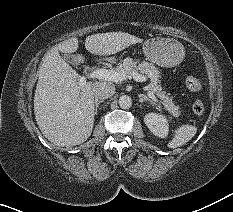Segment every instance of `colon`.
I'll use <instances>...</instances> for the list:
<instances>
[{"mask_svg":"<svg viewBox=\"0 0 233 212\" xmlns=\"http://www.w3.org/2000/svg\"><path fill=\"white\" fill-rule=\"evenodd\" d=\"M185 84H186V86H187V88L189 90L195 91V92L200 91L201 88H202L201 82L198 79H196L195 77H192V76L186 77ZM192 110H193L194 114L202 115L204 113V110H205L204 103L199 99L196 100L193 103Z\"/></svg>","mask_w":233,"mask_h":212,"instance_id":"colon-1","label":"colon"}]
</instances>
